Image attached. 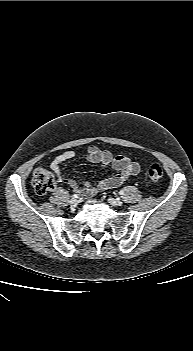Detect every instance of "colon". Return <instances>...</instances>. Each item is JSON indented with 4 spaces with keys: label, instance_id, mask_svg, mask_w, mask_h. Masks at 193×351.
<instances>
[{
    "label": "colon",
    "instance_id": "obj_1",
    "mask_svg": "<svg viewBox=\"0 0 193 351\" xmlns=\"http://www.w3.org/2000/svg\"><path fill=\"white\" fill-rule=\"evenodd\" d=\"M147 176L152 181H158L163 176V168L159 163L151 164L147 169ZM31 183L39 195H45L56 186L53 175L46 169L37 168L32 173Z\"/></svg>",
    "mask_w": 193,
    "mask_h": 351
}]
</instances>
